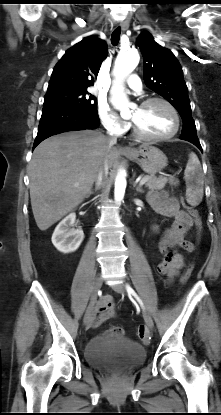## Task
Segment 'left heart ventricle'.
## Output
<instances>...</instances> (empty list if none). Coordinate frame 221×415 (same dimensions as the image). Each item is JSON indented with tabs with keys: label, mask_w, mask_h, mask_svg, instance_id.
Here are the masks:
<instances>
[{
	"label": "left heart ventricle",
	"mask_w": 221,
	"mask_h": 415,
	"mask_svg": "<svg viewBox=\"0 0 221 415\" xmlns=\"http://www.w3.org/2000/svg\"><path fill=\"white\" fill-rule=\"evenodd\" d=\"M131 119L148 135H165L171 132L174 127V118L170 110L158 102L135 108Z\"/></svg>",
	"instance_id": "1"
}]
</instances>
